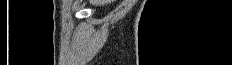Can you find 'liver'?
<instances>
[{"mask_svg":"<svg viewBox=\"0 0 232 65\" xmlns=\"http://www.w3.org/2000/svg\"><path fill=\"white\" fill-rule=\"evenodd\" d=\"M112 0H89L92 5H105L111 3Z\"/></svg>","mask_w":232,"mask_h":65,"instance_id":"liver-1","label":"liver"}]
</instances>
